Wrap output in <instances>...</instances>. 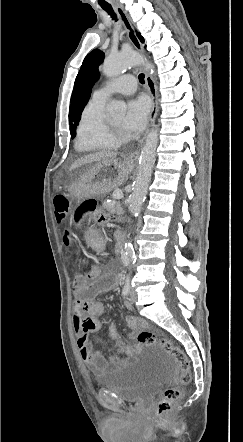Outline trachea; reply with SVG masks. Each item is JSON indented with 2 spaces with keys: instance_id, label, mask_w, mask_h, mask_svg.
Returning <instances> with one entry per match:
<instances>
[{
  "instance_id": "obj_1",
  "label": "trachea",
  "mask_w": 243,
  "mask_h": 442,
  "mask_svg": "<svg viewBox=\"0 0 243 442\" xmlns=\"http://www.w3.org/2000/svg\"><path fill=\"white\" fill-rule=\"evenodd\" d=\"M102 8L109 14V15H111V17L114 19V20H116L117 18H116V15L114 14V11H113V9H112V7L111 6H102ZM139 82L141 83V84H144L145 83V80H144V74H140L139 75Z\"/></svg>"
}]
</instances>
